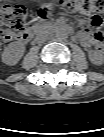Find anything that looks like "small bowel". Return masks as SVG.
Segmentation results:
<instances>
[{
	"mask_svg": "<svg viewBox=\"0 0 104 137\" xmlns=\"http://www.w3.org/2000/svg\"><path fill=\"white\" fill-rule=\"evenodd\" d=\"M26 33H27V31L22 33L21 35H18V36L11 35L10 37H8L6 39L7 40H20V41L26 42L29 39L27 37ZM77 39L86 48H95V49H97L98 46H99V42L94 40L92 35L86 30L79 31L78 34H77Z\"/></svg>",
	"mask_w": 104,
	"mask_h": 137,
	"instance_id": "obj_1",
	"label": "small bowel"
}]
</instances>
